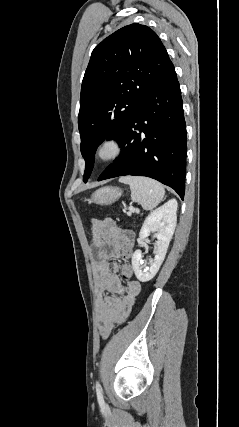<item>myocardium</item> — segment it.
<instances>
[{
  "instance_id": "obj_1",
  "label": "myocardium",
  "mask_w": 239,
  "mask_h": 427,
  "mask_svg": "<svg viewBox=\"0 0 239 427\" xmlns=\"http://www.w3.org/2000/svg\"><path fill=\"white\" fill-rule=\"evenodd\" d=\"M124 152V142L119 135L108 134L104 136L95 147V158L102 163H110Z\"/></svg>"
}]
</instances>
